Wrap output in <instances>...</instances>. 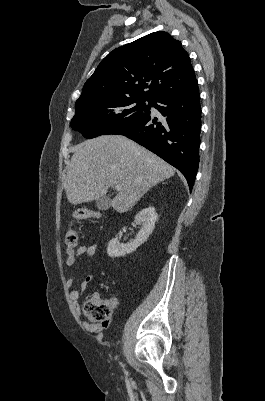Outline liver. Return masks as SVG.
I'll list each match as a JSON object with an SVG mask.
<instances>
[{
    "instance_id": "1",
    "label": "liver",
    "mask_w": 265,
    "mask_h": 401,
    "mask_svg": "<svg viewBox=\"0 0 265 401\" xmlns=\"http://www.w3.org/2000/svg\"><path fill=\"white\" fill-rule=\"evenodd\" d=\"M175 168L121 134H103L74 148L65 180L71 205L105 196L109 186H122L111 205L117 213L130 211L151 186L173 176Z\"/></svg>"
}]
</instances>
